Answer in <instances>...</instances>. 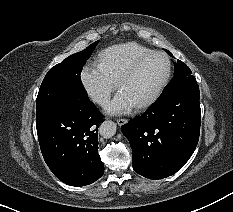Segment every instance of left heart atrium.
<instances>
[{
    "mask_svg": "<svg viewBox=\"0 0 233 212\" xmlns=\"http://www.w3.org/2000/svg\"><path fill=\"white\" fill-rule=\"evenodd\" d=\"M133 107L128 96L123 91H119L108 104L107 111L112 114H123L129 112Z\"/></svg>",
    "mask_w": 233,
    "mask_h": 212,
    "instance_id": "left-heart-atrium-1",
    "label": "left heart atrium"
}]
</instances>
